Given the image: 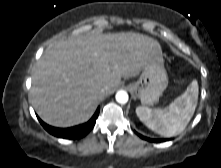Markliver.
Listing matches in <instances>:
<instances>
[{
  "instance_id": "obj_1",
  "label": "liver",
  "mask_w": 221,
  "mask_h": 168,
  "mask_svg": "<svg viewBox=\"0 0 221 168\" xmlns=\"http://www.w3.org/2000/svg\"><path fill=\"white\" fill-rule=\"evenodd\" d=\"M162 49L153 38L134 32L87 34L48 48L32 72V104L55 127L86 122L98 101L116 90L121 77H135ZM107 89L102 92V88Z\"/></svg>"
}]
</instances>
